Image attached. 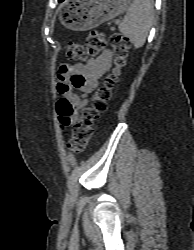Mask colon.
<instances>
[{"label": "colon", "mask_w": 194, "mask_h": 250, "mask_svg": "<svg viewBox=\"0 0 194 250\" xmlns=\"http://www.w3.org/2000/svg\"><path fill=\"white\" fill-rule=\"evenodd\" d=\"M110 43L113 49L114 68L103 80V83L95 90L90 104L85 107L73 127L72 137L68 142V148L72 152H81L87 146L93 131L94 123L100 114L107 109V102L111 97L118 75L126 63L130 48V39L115 33L110 37L98 31L87 34L84 42H71L67 46L66 56L71 59L85 61L93 57Z\"/></svg>", "instance_id": "obj_1"}]
</instances>
